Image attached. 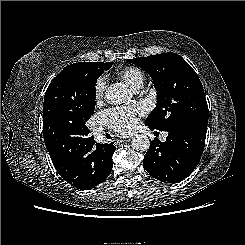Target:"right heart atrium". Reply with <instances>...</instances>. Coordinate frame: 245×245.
Listing matches in <instances>:
<instances>
[{
	"mask_svg": "<svg viewBox=\"0 0 245 245\" xmlns=\"http://www.w3.org/2000/svg\"><path fill=\"white\" fill-rule=\"evenodd\" d=\"M107 86V80L105 76H100L94 85V94H95V98L97 100L101 99L103 97V94L105 92Z\"/></svg>",
	"mask_w": 245,
	"mask_h": 245,
	"instance_id": "right-heart-atrium-1",
	"label": "right heart atrium"
}]
</instances>
